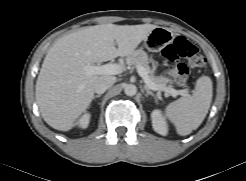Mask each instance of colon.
<instances>
[{"instance_id": "colon-1", "label": "colon", "mask_w": 246, "mask_h": 181, "mask_svg": "<svg viewBox=\"0 0 246 181\" xmlns=\"http://www.w3.org/2000/svg\"><path fill=\"white\" fill-rule=\"evenodd\" d=\"M162 57L167 63L171 64L175 82L179 86L185 85L189 76L188 66L180 62V59H187L192 67H202L205 64L204 57L199 49L182 36L175 38L172 43L162 50Z\"/></svg>"}]
</instances>
